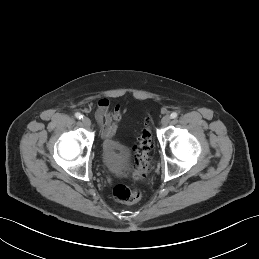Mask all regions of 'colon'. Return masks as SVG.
<instances>
[{
    "mask_svg": "<svg viewBox=\"0 0 259 259\" xmlns=\"http://www.w3.org/2000/svg\"><path fill=\"white\" fill-rule=\"evenodd\" d=\"M150 118L146 120V127L142 130L134 146V180L146 175L150 167V151L153 146V138L150 129ZM141 190L129 188L126 185L118 184L113 188V197L117 202L132 204L140 200Z\"/></svg>",
    "mask_w": 259,
    "mask_h": 259,
    "instance_id": "1",
    "label": "colon"
}]
</instances>
